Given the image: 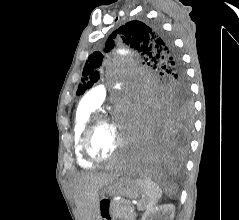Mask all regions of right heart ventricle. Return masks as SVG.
<instances>
[{
    "mask_svg": "<svg viewBox=\"0 0 239 220\" xmlns=\"http://www.w3.org/2000/svg\"><path fill=\"white\" fill-rule=\"evenodd\" d=\"M93 111L94 110H90L79 105L74 116L73 149L77 164L83 168L93 167V162L85 158L81 149V135Z\"/></svg>",
    "mask_w": 239,
    "mask_h": 220,
    "instance_id": "right-heart-ventricle-1",
    "label": "right heart ventricle"
}]
</instances>
